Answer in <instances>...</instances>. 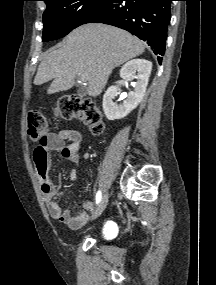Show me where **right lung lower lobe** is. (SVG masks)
Instances as JSON below:
<instances>
[{
	"label": "right lung lower lobe",
	"instance_id": "obj_1",
	"mask_svg": "<svg viewBox=\"0 0 216 285\" xmlns=\"http://www.w3.org/2000/svg\"><path fill=\"white\" fill-rule=\"evenodd\" d=\"M173 0H107L82 24L99 22L125 29L163 55ZM161 64V57H158Z\"/></svg>",
	"mask_w": 216,
	"mask_h": 285
}]
</instances>
